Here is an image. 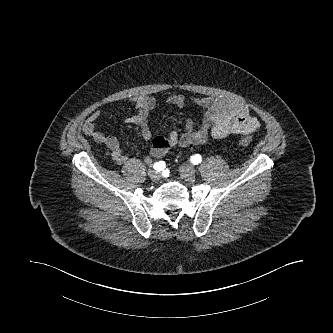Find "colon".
Returning a JSON list of instances; mask_svg holds the SVG:
<instances>
[{
  "label": "colon",
  "mask_w": 333,
  "mask_h": 333,
  "mask_svg": "<svg viewBox=\"0 0 333 333\" xmlns=\"http://www.w3.org/2000/svg\"><path fill=\"white\" fill-rule=\"evenodd\" d=\"M251 144V139L250 138H242L239 142L238 145L240 147H248Z\"/></svg>",
  "instance_id": "colon-1"
}]
</instances>
